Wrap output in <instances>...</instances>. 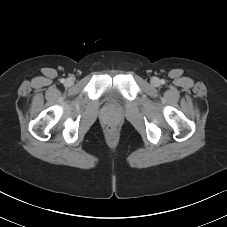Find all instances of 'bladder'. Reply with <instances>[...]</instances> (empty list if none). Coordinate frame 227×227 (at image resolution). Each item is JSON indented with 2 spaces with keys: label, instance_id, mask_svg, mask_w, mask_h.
<instances>
[{
  "label": "bladder",
  "instance_id": "31cf9c89",
  "mask_svg": "<svg viewBox=\"0 0 227 227\" xmlns=\"http://www.w3.org/2000/svg\"><path fill=\"white\" fill-rule=\"evenodd\" d=\"M104 96H105V99L110 103H114L119 99V93L117 89L113 87L107 89Z\"/></svg>",
  "mask_w": 227,
  "mask_h": 227
}]
</instances>
